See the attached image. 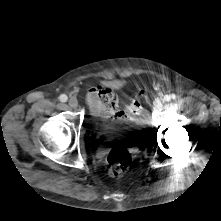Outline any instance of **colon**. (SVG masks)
I'll use <instances>...</instances> for the list:
<instances>
[{"mask_svg":"<svg viewBox=\"0 0 221 221\" xmlns=\"http://www.w3.org/2000/svg\"><path fill=\"white\" fill-rule=\"evenodd\" d=\"M145 92L139 89L136 93V97L131 104L133 112L138 113L140 111V100L144 96ZM106 103H110L111 100L106 97L104 98ZM132 161L130 152L122 146L113 147L107 154L106 157V169L108 174L113 178L122 176L129 168Z\"/></svg>","mask_w":221,"mask_h":221,"instance_id":"colon-1","label":"colon"}]
</instances>
